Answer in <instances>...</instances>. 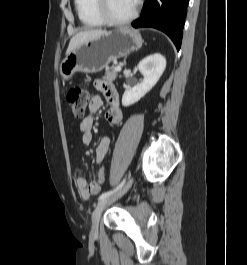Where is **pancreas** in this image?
Listing matches in <instances>:
<instances>
[{"label": "pancreas", "instance_id": "obj_1", "mask_svg": "<svg viewBox=\"0 0 247 265\" xmlns=\"http://www.w3.org/2000/svg\"><path fill=\"white\" fill-rule=\"evenodd\" d=\"M116 66H112L111 68H107L105 71L104 79H107L109 81H114L117 77V71Z\"/></svg>", "mask_w": 247, "mask_h": 265}]
</instances>
